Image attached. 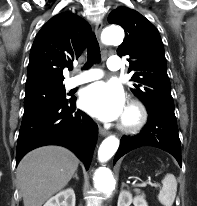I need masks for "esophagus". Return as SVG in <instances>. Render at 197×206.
<instances>
[{
  "mask_svg": "<svg viewBox=\"0 0 197 206\" xmlns=\"http://www.w3.org/2000/svg\"><path fill=\"white\" fill-rule=\"evenodd\" d=\"M102 22L99 21L96 23V26H95V34L96 36L100 39V35H101V31H102ZM99 133L102 135V136H107L109 135V131L103 127H99Z\"/></svg>",
  "mask_w": 197,
  "mask_h": 206,
  "instance_id": "1",
  "label": "esophagus"
}]
</instances>
